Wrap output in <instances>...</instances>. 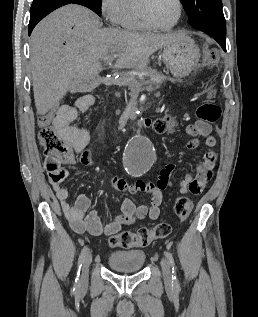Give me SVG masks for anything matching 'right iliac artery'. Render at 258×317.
I'll return each mask as SVG.
<instances>
[{"label": "right iliac artery", "instance_id": "1", "mask_svg": "<svg viewBox=\"0 0 258 317\" xmlns=\"http://www.w3.org/2000/svg\"><path fill=\"white\" fill-rule=\"evenodd\" d=\"M87 250H88V247L84 246V248L81 251V255L79 257V260H78L77 273H76V278H75V282H74V286H73V291L75 293H78L79 289H80L81 267H82V263L84 261L85 254L87 253Z\"/></svg>", "mask_w": 258, "mask_h": 317}]
</instances>
